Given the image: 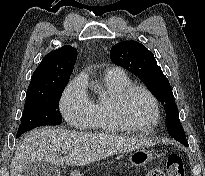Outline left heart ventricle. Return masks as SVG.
Listing matches in <instances>:
<instances>
[{
	"instance_id": "1",
	"label": "left heart ventricle",
	"mask_w": 205,
	"mask_h": 176,
	"mask_svg": "<svg viewBox=\"0 0 205 176\" xmlns=\"http://www.w3.org/2000/svg\"><path fill=\"white\" fill-rule=\"evenodd\" d=\"M127 112L130 119L138 124H149L154 120L152 102L143 92H135L128 100Z\"/></svg>"
}]
</instances>
